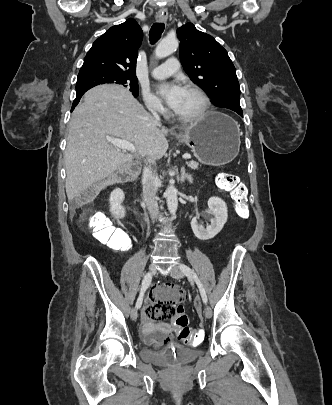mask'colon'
Instances as JSON below:
<instances>
[{
  "mask_svg": "<svg viewBox=\"0 0 332 405\" xmlns=\"http://www.w3.org/2000/svg\"><path fill=\"white\" fill-rule=\"evenodd\" d=\"M217 182L221 189L230 193L235 202V210L238 216L243 219L247 218V190L239 177L231 173H222L219 175ZM96 192V188L88 190L77 202L84 204L90 201ZM88 226L100 242L114 245L116 251H128L130 249L129 233L127 231H119L103 213L97 212L89 216ZM165 288L178 287L167 285ZM170 304L174 307L177 303L173 300ZM168 312H174L167 313L165 318L167 322H171L170 328L174 334H177V339L183 344L188 345L190 351H197L203 339V334L207 332V327L205 325H191L193 311L185 310L183 306H180L179 310Z\"/></svg>",
  "mask_w": 332,
  "mask_h": 405,
  "instance_id": "5ec220e1",
  "label": "colon"
}]
</instances>
